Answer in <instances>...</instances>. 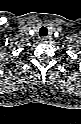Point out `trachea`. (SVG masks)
<instances>
[{
	"instance_id": "3493384b",
	"label": "trachea",
	"mask_w": 81,
	"mask_h": 124,
	"mask_svg": "<svg viewBox=\"0 0 81 124\" xmlns=\"http://www.w3.org/2000/svg\"><path fill=\"white\" fill-rule=\"evenodd\" d=\"M40 37H46L48 35V29L46 27H41L39 30Z\"/></svg>"
}]
</instances>
